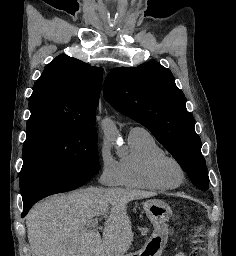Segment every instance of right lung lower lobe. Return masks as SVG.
<instances>
[{"mask_svg": "<svg viewBox=\"0 0 236 256\" xmlns=\"http://www.w3.org/2000/svg\"><path fill=\"white\" fill-rule=\"evenodd\" d=\"M91 178L92 177H88L84 174H78L42 182L30 187L25 192L21 193L24 205L22 217H24L30 208L42 198L52 194L74 190L85 184Z\"/></svg>", "mask_w": 236, "mask_h": 256, "instance_id": "right-lung-lower-lobe-1", "label": "right lung lower lobe"}]
</instances>
